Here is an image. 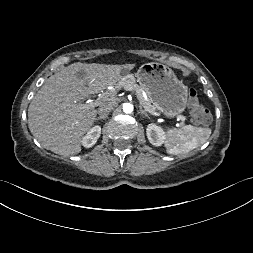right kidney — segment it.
Masks as SVG:
<instances>
[{
	"label": "right kidney",
	"mask_w": 253,
	"mask_h": 253,
	"mask_svg": "<svg viewBox=\"0 0 253 253\" xmlns=\"http://www.w3.org/2000/svg\"><path fill=\"white\" fill-rule=\"evenodd\" d=\"M101 134V127L99 125L91 128L87 134L82 138V145L86 148H90L97 142Z\"/></svg>",
	"instance_id": "ca27d5eb"
}]
</instances>
